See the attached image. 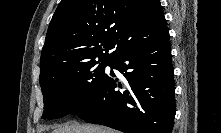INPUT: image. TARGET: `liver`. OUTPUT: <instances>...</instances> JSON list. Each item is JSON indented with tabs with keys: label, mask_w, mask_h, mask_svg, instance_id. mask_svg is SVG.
Wrapping results in <instances>:
<instances>
[{
	"label": "liver",
	"mask_w": 221,
	"mask_h": 133,
	"mask_svg": "<svg viewBox=\"0 0 221 133\" xmlns=\"http://www.w3.org/2000/svg\"><path fill=\"white\" fill-rule=\"evenodd\" d=\"M52 133H117L112 129H107L94 125H80L78 123H66L54 129Z\"/></svg>",
	"instance_id": "liver-1"
}]
</instances>
